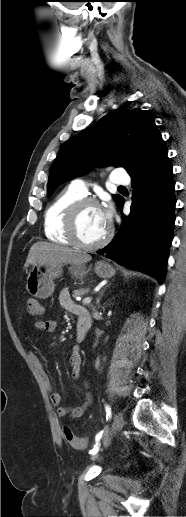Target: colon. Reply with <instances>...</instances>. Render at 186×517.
<instances>
[{
	"mask_svg": "<svg viewBox=\"0 0 186 517\" xmlns=\"http://www.w3.org/2000/svg\"><path fill=\"white\" fill-rule=\"evenodd\" d=\"M26 312L29 317H38L42 314L43 309L40 302L35 298L27 300ZM63 436L66 442L76 450H84L87 448L88 440L84 437H77L69 426L63 428Z\"/></svg>",
	"mask_w": 186,
	"mask_h": 517,
	"instance_id": "colon-1",
	"label": "colon"
}]
</instances>
